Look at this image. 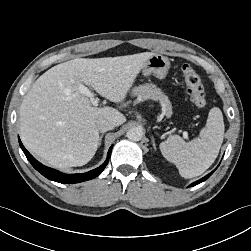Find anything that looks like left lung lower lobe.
Masks as SVG:
<instances>
[{
  "label": "left lung lower lobe",
  "instance_id": "0a47b994",
  "mask_svg": "<svg viewBox=\"0 0 251 251\" xmlns=\"http://www.w3.org/2000/svg\"><path fill=\"white\" fill-rule=\"evenodd\" d=\"M214 171H215V170H213L211 173H209L208 175H206V176L203 177L202 179H200V180H198V181L192 183L190 186H195V185H198L199 183L205 181L206 179H208V178L211 176V174H212Z\"/></svg>",
  "mask_w": 251,
  "mask_h": 251
}]
</instances>
